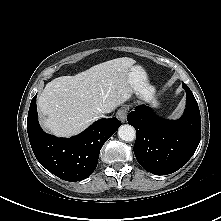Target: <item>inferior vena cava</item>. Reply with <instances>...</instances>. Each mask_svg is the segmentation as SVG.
Instances as JSON below:
<instances>
[{"label":"inferior vena cava","instance_id":"inferior-vena-cava-1","mask_svg":"<svg viewBox=\"0 0 221 221\" xmlns=\"http://www.w3.org/2000/svg\"><path fill=\"white\" fill-rule=\"evenodd\" d=\"M98 118H105V115L101 114Z\"/></svg>","mask_w":221,"mask_h":221}]
</instances>
